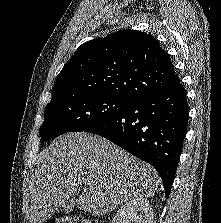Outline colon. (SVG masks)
Returning <instances> with one entry per match:
<instances>
[{
    "instance_id": "5ec220e1",
    "label": "colon",
    "mask_w": 221,
    "mask_h": 223,
    "mask_svg": "<svg viewBox=\"0 0 221 223\" xmlns=\"http://www.w3.org/2000/svg\"><path fill=\"white\" fill-rule=\"evenodd\" d=\"M45 223H100L97 219L86 218L83 216H62L51 218L45 221Z\"/></svg>"
}]
</instances>
